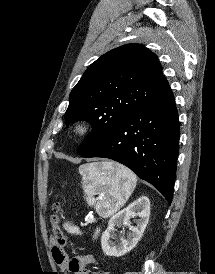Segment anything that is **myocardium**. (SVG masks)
I'll list each match as a JSON object with an SVG mask.
<instances>
[{
	"instance_id": "1",
	"label": "myocardium",
	"mask_w": 215,
	"mask_h": 274,
	"mask_svg": "<svg viewBox=\"0 0 215 274\" xmlns=\"http://www.w3.org/2000/svg\"><path fill=\"white\" fill-rule=\"evenodd\" d=\"M72 134L78 138H84L91 132V126L87 121L79 120L72 125Z\"/></svg>"
}]
</instances>
